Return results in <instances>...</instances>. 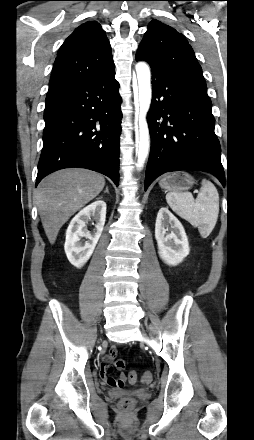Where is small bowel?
Returning a JSON list of instances; mask_svg holds the SVG:
<instances>
[{"mask_svg":"<svg viewBox=\"0 0 254 440\" xmlns=\"http://www.w3.org/2000/svg\"><path fill=\"white\" fill-rule=\"evenodd\" d=\"M116 354L117 350L115 348H112L109 353L103 358L99 372L100 377L106 382V384L113 387L117 386L114 384L116 379L111 376V363L114 360Z\"/></svg>","mask_w":254,"mask_h":440,"instance_id":"1","label":"small bowel"}]
</instances>
